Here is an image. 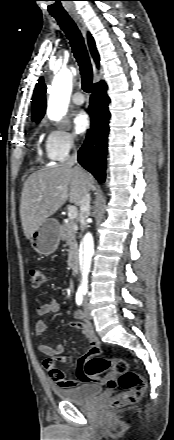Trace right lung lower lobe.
Returning <instances> with one entry per match:
<instances>
[{"label": "right lung lower lobe", "instance_id": "obj_1", "mask_svg": "<svg viewBox=\"0 0 174 440\" xmlns=\"http://www.w3.org/2000/svg\"><path fill=\"white\" fill-rule=\"evenodd\" d=\"M107 85L101 81L92 87L89 113L92 119L91 129L87 133L83 146L78 151V162L94 177L103 183L105 180L107 136L109 133L108 111L109 97Z\"/></svg>", "mask_w": 174, "mask_h": 440}]
</instances>
